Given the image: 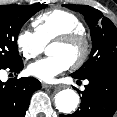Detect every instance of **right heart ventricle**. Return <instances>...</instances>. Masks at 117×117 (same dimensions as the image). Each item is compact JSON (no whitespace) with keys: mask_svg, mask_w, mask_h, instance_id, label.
<instances>
[{"mask_svg":"<svg viewBox=\"0 0 117 117\" xmlns=\"http://www.w3.org/2000/svg\"><path fill=\"white\" fill-rule=\"evenodd\" d=\"M32 25L44 45L63 34L84 32V25L80 18L63 9H53L38 15Z\"/></svg>","mask_w":117,"mask_h":117,"instance_id":"right-heart-ventricle-1","label":"right heart ventricle"}]
</instances>
